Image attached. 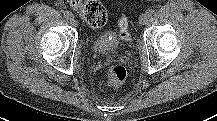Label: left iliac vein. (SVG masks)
<instances>
[{"mask_svg":"<svg viewBox=\"0 0 217 121\" xmlns=\"http://www.w3.org/2000/svg\"><path fill=\"white\" fill-rule=\"evenodd\" d=\"M148 20H149L148 14H147V13H143V14L140 16V18H139V23H140L141 25H145V24H147Z\"/></svg>","mask_w":217,"mask_h":121,"instance_id":"1","label":"left iliac vein"}]
</instances>
